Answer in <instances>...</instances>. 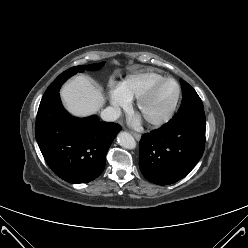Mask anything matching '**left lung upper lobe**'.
<instances>
[{
	"label": "left lung upper lobe",
	"mask_w": 248,
	"mask_h": 248,
	"mask_svg": "<svg viewBox=\"0 0 248 248\" xmlns=\"http://www.w3.org/2000/svg\"><path fill=\"white\" fill-rule=\"evenodd\" d=\"M183 92L182 104L176 115H187L193 111L203 109V103L196 91L185 81L180 80Z\"/></svg>",
	"instance_id": "1"
}]
</instances>
